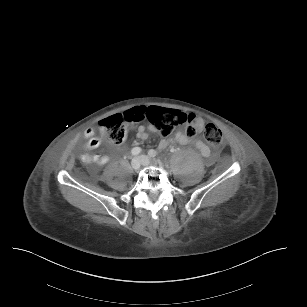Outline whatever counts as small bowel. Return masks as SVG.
I'll use <instances>...</instances> for the list:
<instances>
[{
  "label": "small bowel",
  "mask_w": 307,
  "mask_h": 307,
  "mask_svg": "<svg viewBox=\"0 0 307 307\" xmlns=\"http://www.w3.org/2000/svg\"><path fill=\"white\" fill-rule=\"evenodd\" d=\"M145 112H146V109H145ZM145 112L143 114H145ZM150 129L154 130V128H150ZM84 136L87 139V142L84 146L87 151H92V150L97 149L102 143L101 137L97 136L95 134V130L92 128L87 129L84 132ZM137 137L142 140L148 137V133L144 126L139 127L137 131ZM171 143H177L181 145L192 144L200 152V154L206 158L209 157L211 153L210 148L206 145V143L203 140H201L200 138L194 137V136H189L183 131H176L173 137L163 138L159 143V148L165 149ZM81 161L85 164L94 163V164L103 165L109 161V157L106 155H101V154L85 153L81 155Z\"/></svg>",
  "instance_id": "obj_1"
}]
</instances>
